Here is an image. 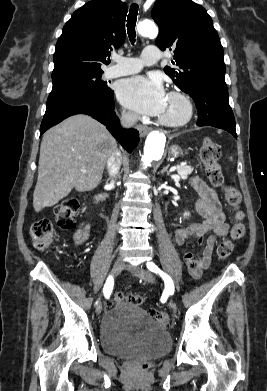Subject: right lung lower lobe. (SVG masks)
<instances>
[{
  "mask_svg": "<svg viewBox=\"0 0 267 391\" xmlns=\"http://www.w3.org/2000/svg\"><path fill=\"white\" fill-rule=\"evenodd\" d=\"M114 108L113 91L109 94H101L69 90L49 95L40 135L71 115L87 114L106 126L120 144L131 152L138 143L139 133L135 129H122Z\"/></svg>",
  "mask_w": 267,
  "mask_h": 391,
  "instance_id": "right-lung-lower-lobe-1",
  "label": "right lung lower lobe"
}]
</instances>
